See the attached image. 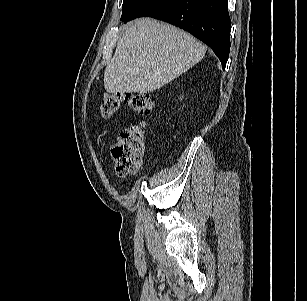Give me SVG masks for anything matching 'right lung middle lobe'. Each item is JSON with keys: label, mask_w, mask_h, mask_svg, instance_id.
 <instances>
[{"label": "right lung middle lobe", "mask_w": 307, "mask_h": 301, "mask_svg": "<svg viewBox=\"0 0 307 301\" xmlns=\"http://www.w3.org/2000/svg\"><path fill=\"white\" fill-rule=\"evenodd\" d=\"M162 0H123L121 21L124 23L139 17Z\"/></svg>", "instance_id": "right-lung-middle-lobe-1"}]
</instances>
